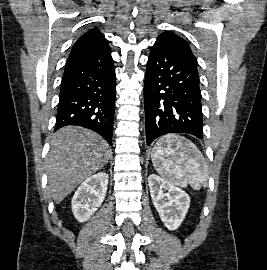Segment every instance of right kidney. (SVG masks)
<instances>
[{
	"label": "right kidney",
	"mask_w": 267,
	"mask_h": 270,
	"mask_svg": "<svg viewBox=\"0 0 267 270\" xmlns=\"http://www.w3.org/2000/svg\"><path fill=\"white\" fill-rule=\"evenodd\" d=\"M109 176L99 172L88 177L77 189L72 198V212L79 222L87 221L102 204Z\"/></svg>",
	"instance_id": "ca27d5eb"
}]
</instances>
